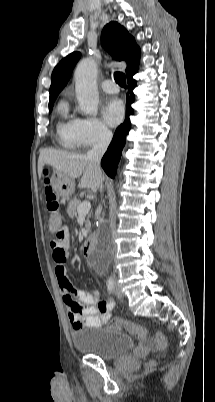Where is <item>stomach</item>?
Returning a JSON list of instances; mask_svg holds the SVG:
<instances>
[{
    "label": "stomach",
    "instance_id": "obj_1",
    "mask_svg": "<svg viewBox=\"0 0 215 402\" xmlns=\"http://www.w3.org/2000/svg\"><path fill=\"white\" fill-rule=\"evenodd\" d=\"M50 183L56 194L63 198H69L75 189L74 179L57 170L53 171Z\"/></svg>",
    "mask_w": 215,
    "mask_h": 402
}]
</instances>
